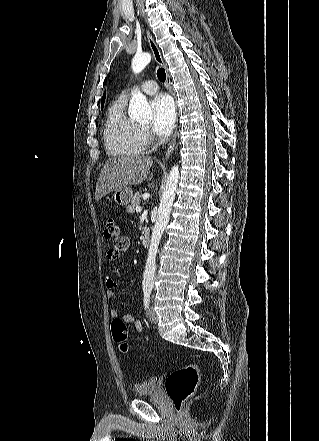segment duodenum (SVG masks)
Returning a JSON list of instances; mask_svg holds the SVG:
<instances>
[{
  "label": "duodenum",
  "mask_w": 319,
  "mask_h": 441,
  "mask_svg": "<svg viewBox=\"0 0 319 441\" xmlns=\"http://www.w3.org/2000/svg\"><path fill=\"white\" fill-rule=\"evenodd\" d=\"M141 241L145 247L149 246V244H150V231L148 229H145L143 231V233L141 235Z\"/></svg>",
  "instance_id": "duodenum-1"
}]
</instances>
